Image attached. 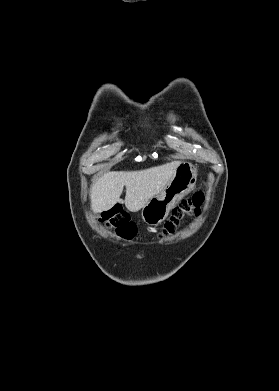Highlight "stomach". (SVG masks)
<instances>
[{
  "mask_svg": "<svg viewBox=\"0 0 279 391\" xmlns=\"http://www.w3.org/2000/svg\"><path fill=\"white\" fill-rule=\"evenodd\" d=\"M197 170L189 162H182L164 189L142 208V219L149 225L161 224L171 209L195 186Z\"/></svg>",
  "mask_w": 279,
  "mask_h": 391,
  "instance_id": "1",
  "label": "stomach"
}]
</instances>
